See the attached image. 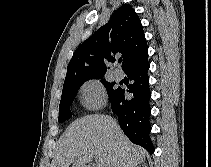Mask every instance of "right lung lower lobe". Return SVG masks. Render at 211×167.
<instances>
[{
	"label": "right lung lower lobe",
	"instance_id": "98d812e1",
	"mask_svg": "<svg viewBox=\"0 0 211 167\" xmlns=\"http://www.w3.org/2000/svg\"><path fill=\"white\" fill-rule=\"evenodd\" d=\"M148 55L124 72L133 81L127 88H118L110 99L112 111L118 116V121L125 135L137 145L142 146L150 153L155 148L150 139V97L148 69ZM130 92L132 98H126L125 92Z\"/></svg>",
	"mask_w": 211,
	"mask_h": 167
}]
</instances>
